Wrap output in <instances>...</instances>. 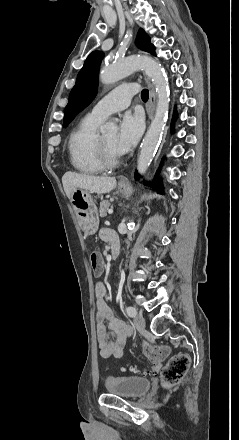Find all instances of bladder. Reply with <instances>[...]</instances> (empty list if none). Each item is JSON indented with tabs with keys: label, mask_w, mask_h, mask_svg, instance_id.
<instances>
[{
	"label": "bladder",
	"mask_w": 239,
	"mask_h": 440,
	"mask_svg": "<svg viewBox=\"0 0 239 440\" xmlns=\"http://www.w3.org/2000/svg\"><path fill=\"white\" fill-rule=\"evenodd\" d=\"M105 390L114 395L135 398L146 394L151 382L138 376H107L104 380Z\"/></svg>",
	"instance_id": "1"
}]
</instances>
